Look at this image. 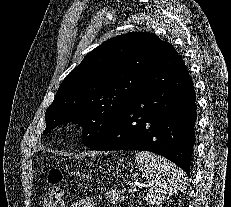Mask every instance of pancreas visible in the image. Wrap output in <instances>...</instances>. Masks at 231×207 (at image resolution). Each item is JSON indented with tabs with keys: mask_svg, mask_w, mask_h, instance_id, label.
Returning <instances> with one entry per match:
<instances>
[{
	"mask_svg": "<svg viewBox=\"0 0 231 207\" xmlns=\"http://www.w3.org/2000/svg\"><path fill=\"white\" fill-rule=\"evenodd\" d=\"M106 198L108 199V201L114 204L124 200V196L121 194L120 191H117V190H109L106 193Z\"/></svg>",
	"mask_w": 231,
	"mask_h": 207,
	"instance_id": "cf45deb5",
	"label": "pancreas"
}]
</instances>
